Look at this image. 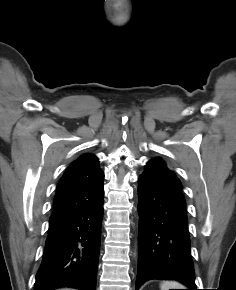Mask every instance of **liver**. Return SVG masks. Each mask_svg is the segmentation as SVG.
I'll return each mask as SVG.
<instances>
[{"label":"liver","instance_id":"1","mask_svg":"<svg viewBox=\"0 0 236 290\" xmlns=\"http://www.w3.org/2000/svg\"><path fill=\"white\" fill-rule=\"evenodd\" d=\"M58 290H75V289H67V288H66V289H58Z\"/></svg>","mask_w":236,"mask_h":290}]
</instances>
